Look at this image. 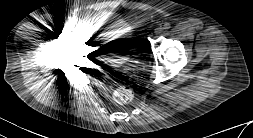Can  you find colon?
Returning a JSON list of instances; mask_svg holds the SVG:
<instances>
[{"mask_svg": "<svg viewBox=\"0 0 253 138\" xmlns=\"http://www.w3.org/2000/svg\"><path fill=\"white\" fill-rule=\"evenodd\" d=\"M113 96L117 103L128 104L134 98V88L127 83L120 84L115 88Z\"/></svg>", "mask_w": 253, "mask_h": 138, "instance_id": "1", "label": "colon"}]
</instances>
